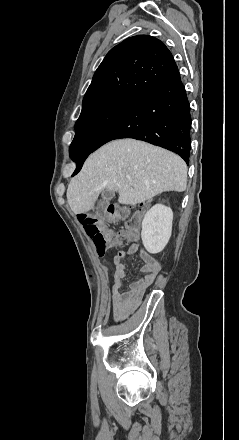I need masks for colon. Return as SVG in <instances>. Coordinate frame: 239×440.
Instances as JSON below:
<instances>
[{"label":"colon","instance_id":"5ec220e1","mask_svg":"<svg viewBox=\"0 0 239 440\" xmlns=\"http://www.w3.org/2000/svg\"><path fill=\"white\" fill-rule=\"evenodd\" d=\"M142 211L141 205L129 207H108L101 215L81 214L79 221L86 234L93 241L96 252L103 256L116 247L120 239H133L139 230V220L134 215ZM126 221L125 228L117 236L106 228V222Z\"/></svg>","mask_w":239,"mask_h":440}]
</instances>
